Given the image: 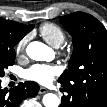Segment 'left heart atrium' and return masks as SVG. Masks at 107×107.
Instances as JSON below:
<instances>
[{"mask_svg":"<svg viewBox=\"0 0 107 107\" xmlns=\"http://www.w3.org/2000/svg\"><path fill=\"white\" fill-rule=\"evenodd\" d=\"M58 73V68L53 65L35 64L25 70L24 78L42 85H46L52 82Z\"/></svg>","mask_w":107,"mask_h":107,"instance_id":"1","label":"left heart atrium"}]
</instances>
